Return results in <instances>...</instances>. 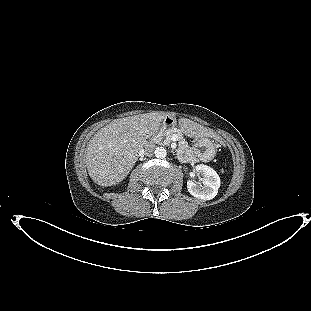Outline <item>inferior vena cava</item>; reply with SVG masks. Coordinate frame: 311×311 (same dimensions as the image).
Here are the masks:
<instances>
[{
  "instance_id": "1",
  "label": "inferior vena cava",
  "mask_w": 311,
  "mask_h": 311,
  "mask_svg": "<svg viewBox=\"0 0 311 311\" xmlns=\"http://www.w3.org/2000/svg\"><path fill=\"white\" fill-rule=\"evenodd\" d=\"M155 149V145L152 143H147L144 147V154L146 156H152Z\"/></svg>"
}]
</instances>
